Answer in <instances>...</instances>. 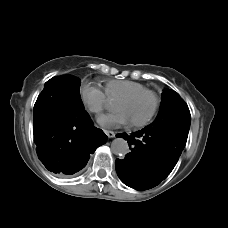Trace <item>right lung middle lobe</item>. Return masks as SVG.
Masks as SVG:
<instances>
[{
	"instance_id": "right-lung-middle-lobe-1",
	"label": "right lung middle lobe",
	"mask_w": 228,
	"mask_h": 228,
	"mask_svg": "<svg viewBox=\"0 0 228 228\" xmlns=\"http://www.w3.org/2000/svg\"><path fill=\"white\" fill-rule=\"evenodd\" d=\"M80 85L79 78L71 75H62L51 78L45 83L44 91H51V96L54 95L55 99L63 104L72 105L76 107H82V101L80 97ZM44 94L39 95L37 102L42 100ZM35 103V104H36Z\"/></svg>"
}]
</instances>
